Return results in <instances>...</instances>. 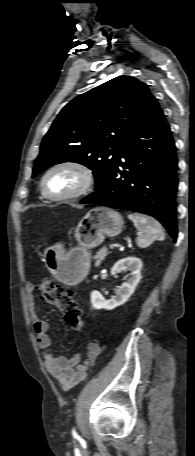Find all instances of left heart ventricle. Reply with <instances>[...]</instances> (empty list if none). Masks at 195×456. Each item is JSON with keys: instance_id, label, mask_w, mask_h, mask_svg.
Returning a JSON list of instances; mask_svg holds the SVG:
<instances>
[{"instance_id": "left-heart-ventricle-1", "label": "left heart ventricle", "mask_w": 195, "mask_h": 456, "mask_svg": "<svg viewBox=\"0 0 195 456\" xmlns=\"http://www.w3.org/2000/svg\"><path fill=\"white\" fill-rule=\"evenodd\" d=\"M82 183V175L73 168L54 170L46 179V188L53 195H66L75 191Z\"/></svg>"}]
</instances>
